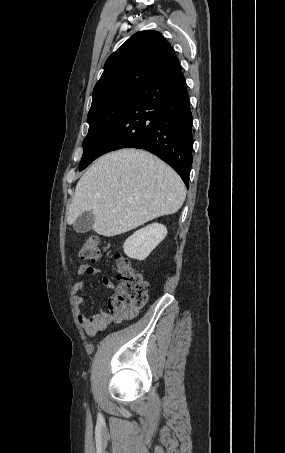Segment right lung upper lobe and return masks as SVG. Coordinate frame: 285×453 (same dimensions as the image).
<instances>
[{"mask_svg": "<svg viewBox=\"0 0 285 453\" xmlns=\"http://www.w3.org/2000/svg\"><path fill=\"white\" fill-rule=\"evenodd\" d=\"M178 64L173 48L160 32L145 30L134 34L108 57L94 87L91 108L121 94L139 91L153 76Z\"/></svg>", "mask_w": 285, "mask_h": 453, "instance_id": "right-lung-upper-lobe-1", "label": "right lung upper lobe"}]
</instances>
